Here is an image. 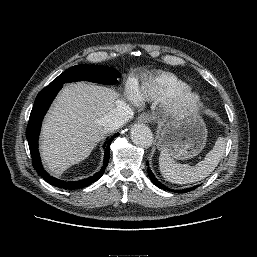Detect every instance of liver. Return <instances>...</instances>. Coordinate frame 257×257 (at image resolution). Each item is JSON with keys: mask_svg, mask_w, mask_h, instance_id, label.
I'll return each instance as SVG.
<instances>
[{"mask_svg": "<svg viewBox=\"0 0 257 257\" xmlns=\"http://www.w3.org/2000/svg\"><path fill=\"white\" fill-rule=\"evenodd\" d=\"M120 104L124 102L112 88L86 82L66 85L42 126L40 149L45 166L60 174L87 158L108 132L100 119Z\"/></svg>", "mask_w": 257, "mask_h": 257, "instance_id": "6515ba94", "label": "liver"}]
</instances>
